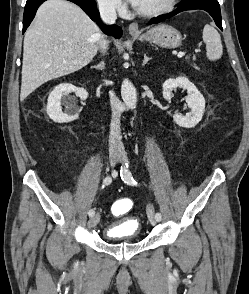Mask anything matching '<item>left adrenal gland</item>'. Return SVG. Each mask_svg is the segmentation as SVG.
<instances>
[{
  "label": "left adrenal gland",
  "mask_w": 249,
  "mask_h": 294,
  "mask_svg": "<svg viewBox=\"0 0 249 294\" xmlns=\"http://www.w3.org/2000/svg\"><path fill=\"white\" fill-rule=\"evenodd\" d=\"M150 59H151V58L147 57V55L144 54V60H143L142 66H145V64H146Z\"/></svg>",
  "instance_id": "obj_1"
}]
</instances>
